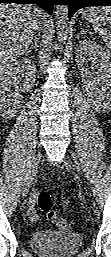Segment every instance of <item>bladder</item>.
Returning a JSON list of instances; mask_svg holds the SVG:
<instances>
[{"label": "bladder", "mask_w": 111, "mask_h": 257, "mask_svg": "<svg viewBox=\"0 0 111 257\" xmlns=\"http://www.w3.org/2000/svg\"><path fill=\"white\" fill-rule=\"evenodd\" d=\"M83 242L82 234L70 231H38L30 239L32 249L41 257H71Z\"/></svg>", "instance_id": "bladder-1"}]
</instances>
